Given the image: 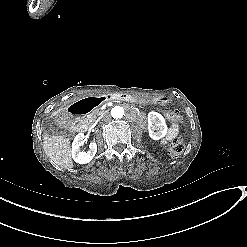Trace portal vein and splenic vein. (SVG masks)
<instances>
[{
  "label": "portal vein and splenic vein",
  "mask_w": 247,
  "mask_h": 247,
  "mask_svg": "<svg viewBox=\"0 0 247 247\" xmlns=\"http://www.w3.org/2000/svg\"><path fill=\"white\" fill-rule=\"evenodd\" d=\"M106 104L102 105V111H105Z\"/></svg>",
  "instance_id": "1"
}]
</instances>
